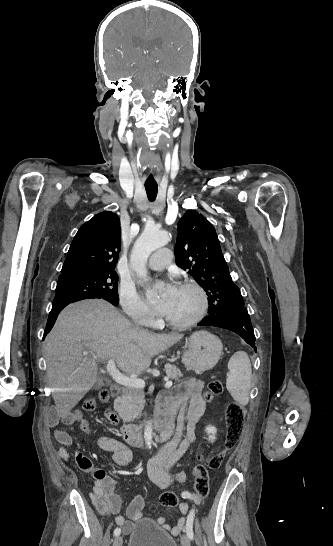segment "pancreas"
Masks as SVG:
<instances>
[{
	"label": "pancreas",
	"instance_id": "pancreas-1",
	"mask_svg": "<svg viewBox=\"0 0 333 546\" xmlns=\"http://www.w3.org/2000/svg\"><path fill=\"white\" fill-rule=\"evenodd\" d=\"M165 372L168 378L175 380H179L183 376L180 370L171 364L165 365ZM144 396L143 388L126 387L123 389L117 402L120 404L119 413L124 420L134 421L141 416L145 403Z\"/></svg>",
	"mask_w": 333,
	"mask_h": 546
}]
</instances>
